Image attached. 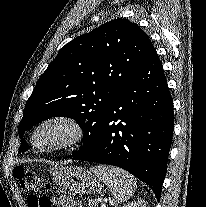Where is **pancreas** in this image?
<instances>
[{
	"instance_id": "pancreas-1",
	"label": "pancreas",
	"mask_w": 206,
	"mask_h": 207,
	"mask_svg": "<svg viewBox=\"0 0 206 207\" xmlns=\"http://www.w3.org/2000/svg\"><path fill=\"white\" fill-rule=\"evenodd\" d=\"M89 203L91 207H98V202L96 200H91Z\"/></svg>"
}]
</instances>
